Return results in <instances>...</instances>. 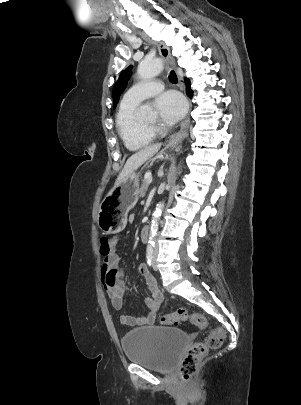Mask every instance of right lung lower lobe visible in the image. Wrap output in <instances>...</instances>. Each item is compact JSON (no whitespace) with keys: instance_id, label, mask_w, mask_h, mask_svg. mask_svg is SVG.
<instances>
[{"instance_id":"right-lung-lower-lobe-1","label":"right lung lower lobe","mask_w":301,"mask_h":405,"mask_svg":"<svg viewBox=\"0 0 301 405\" xmlns=\"http://www.w3.org/2000/svg\"><path fill=\"white\" fill-rule=\"evenodd\" d=\"M186 85H187V94H188V96L192 97L193 92L190 89V81H189V79H186Z\"/></svg>"}]
</instances>
